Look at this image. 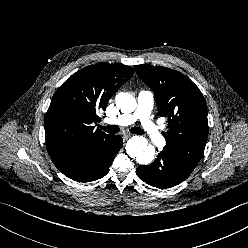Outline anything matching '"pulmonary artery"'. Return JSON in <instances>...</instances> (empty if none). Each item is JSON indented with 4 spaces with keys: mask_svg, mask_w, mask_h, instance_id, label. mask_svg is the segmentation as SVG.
<instances>
[{
    "mask_svg": "<svg viewBox=\"0 0 248 248\" xmlns=\"http://www.w3.org/2000/svg\"><path fill=\"white\" fill-rule=\"evenodd\" d=\"M154 103V94L150 90H141L138 94V105L134 113L122 114L106 120L109 124L127 126L139 121L144 133L157 145L164 144V137L151 120L150 114Z\"/></svg>",
    "mask_w": 248,
    "mask_h": 248,
    "instance_id": "pulmonary-artery-1",
    "label": "pulmonary artery"
}]
</instances>
